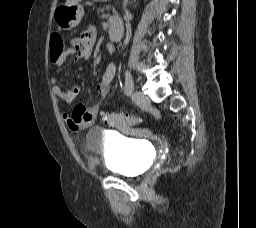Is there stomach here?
I'll return each instance as SVG.
<instances>
[{
	"instance_id": "1",
	"label": "stomach",
	"mask_w": 256,
	"mask_h": 228,
	"mask_svg": "<svg viewBox=\"0 0 256 228\" xmlns=\"http://www.w3.org/2000/svg\"><path fill=\"white\" fill-rule=\"evenodd\" d=\"M83 14L84 9L79 3L65 4L55 9L53 19L60 29L70 30L80 23Z\"/></svg>"
}]
</instances>
